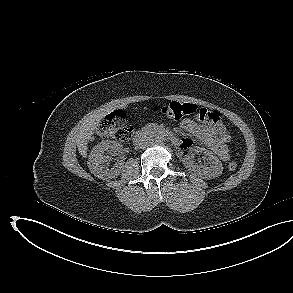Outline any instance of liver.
I'll return each instance as SVG.
<instances>
[{"instance_id":"liver-1","label":"liver","mask_w":293,"mask_h":293,"mask_svg":"<svg viewBox=\"0 0 293 293\" xmlns=\"http://www.w3.org/2000/svg\"><path fill=\"white\" fill-rule=\"evenodd\" d=\"M124 106L125 105H123L122 107ZM114 109L115 108H105L96 110L82 120V124L79 126V130L76 134V144L79 153L83 157L87 156L88 141L91 139L94 130L97 128L101 120Z\"/></svg>"}]
</instances>
